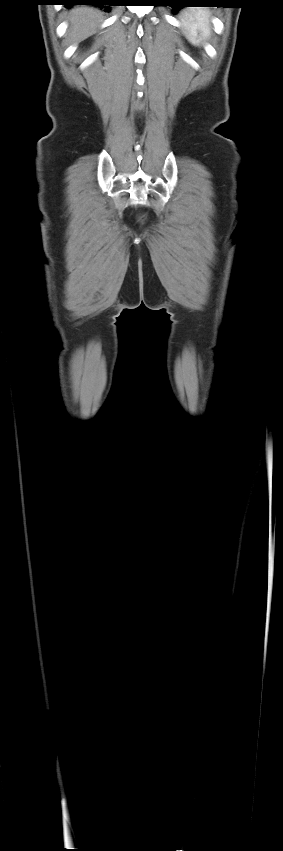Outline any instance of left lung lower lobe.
Returning a JSON list of instances; mask_svg holds the SVG:
<instances>
[{
    "mask_svg": "<svg viewBox=\"0 0 283 851\" xmlns=\"http://www.w3.org/2000/svg\"><path fill=\"white\" fill-rule=\"evenodd\" d=\"M216 0H183L181 3L174 4L175 10L179 7H189L191 4H214Z\"/></svg>",
    "mask_w": 283,
    "mask_h": 851,
    "instance_id": "left-lung-lower-lobe-1",
    "label": "left lung lower lobe"
}]
</instances>
